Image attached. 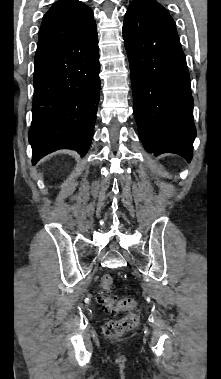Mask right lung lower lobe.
I'll return each mask as SVG.
<instances>
[{
  "label": "right lung lower lobe",
  "instance_id": "right-lung-lower-lobe-1",
  "mask_svg": "<svg viewBox=\"0 0 221 379\" xmlns=\"http://www.w3.org/2000/svg\"><path fill=\"white\" fill-rule=\"evenodd\" d=\"M32 163L58 149L84 156L91 144L100 93L96 23L78 37L36 53Z\"/></svg>",
  "mask_w": 221,
  "mask_h": 379
}]
</instances>
